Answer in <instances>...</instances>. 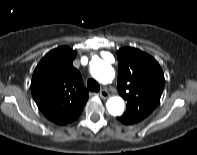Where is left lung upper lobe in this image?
Masks as SVG:
<instances>
[{"label":"left lung upper lobe","mask_w":197,"mask_h":155,"mask_svg":"<svg viewBox=\"0 0 197 155\" xmlns=\"http://www.w3.org/2000/svg\"><path fill=\"white\" fill-rule=\"evenodd\" d=\"M119 73L117 89L127 100L123 118L136 123L146 118L159 103L165 79L158 62L132 47L117 51Z\"/></svg>","instance_id":"1"}]
</instances>
